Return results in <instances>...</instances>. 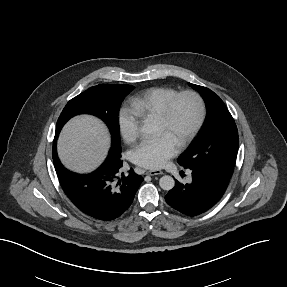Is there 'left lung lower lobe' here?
<instances>
[{"instance_id": "obj_1", "label": "left lung lower lobe", "mask_w": 287, "mask_h": 287, "mask_svg": "<svg viewBox=\"0 0 287 287\" xmlns=\"http://www.w3.org/2000/svg\"><path fill=\"white\" fill-rule=\"evenodd\" d=\"M192 182L175 186L165 196L168 205L188 216L202 214L223 196L231 176L204 167L189 168Z\"/></svg>"}]
</instances>
